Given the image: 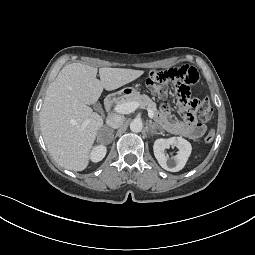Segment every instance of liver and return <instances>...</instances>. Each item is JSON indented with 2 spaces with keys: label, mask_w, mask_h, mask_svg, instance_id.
<instances>
[{
  "label": "liver",
  "mask_w": 255,
  "mask_h": 255,
  "mask_svg": "<svg viewBox=\"0 0 255 255\" xmlns=\"http://www.w3.org/2000/svg\"><path fill=\"white\" fill-rule=\"evenodd\" d=\"M144 73L143 70L71 63L62 68L50 84L40 111V127L52 158L62 167L82 171L103 118L89 105L97 102L103 89L115 90ZM88 124H84L85 121Z\"/></svg>",
  "instance_id": "liver-1"
}]
</instances>
